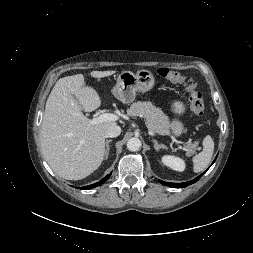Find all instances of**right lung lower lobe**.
<instances>
[{
	"mask_svg": "<svg viewBox=\"0 0 253 253\" xmlns=\"http://www.w3.org/2000/svg\"><path fill=\"white\" fill-rule=\"evenodd\" d=\"M110 177V175H107L106 177H104L101 181L95 183V184H92V185H88V186H85V187H81V189H91V188H94V187H97L99 186L100 184H103L106 180H108V178Z\"/></svg>",
	"mask_w": 253,
	"mask_h": 253,
	"instance_id": "98d812e1",
	"label": "right lung lower lobe"
}]
</instances>
